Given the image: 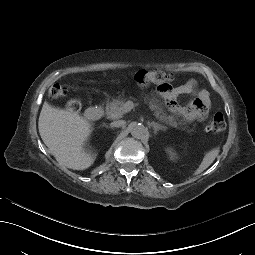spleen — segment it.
<instances>
[{
  "instance_id": "1",
  "label": "spleen",
  "mask_w": 255,
  "mask_h": 255,
  "mask_svg": "<svg viewBox=\"0 0 255 255\" xmlns=\"http://www.w3.org/2000/svg\"><path fill=\"white\" fill-rule=\"evenodd\" d=\"M219 154V149L215 148L211 151H208L204 154L203 160L199 167L194 171L193 175L196 176L206 170L215 160L217 155Z\"/></svg>"
}]
</instances>
